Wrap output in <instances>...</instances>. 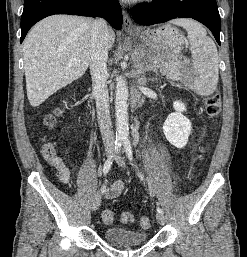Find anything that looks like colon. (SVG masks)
<instances>
[{
    "label": "colon",
    "mask_w": 247,
    "mask_h": 257,
    "mask_svg": "<svg viewBox=\"0 0 247 257\" xmlns=\"http://www.w3.org/2000/svg\"><path fill=\"white\" fill-rule=\"evenodd\" d=\"M205 105V113L208 118L215 120L221 111V97L219 93H213L209 96L206 97L204 101ZM58 116V112L55 114L48 115L45 119V124L47 126H52L56 122V117ZM42 154L45 158H53L54 156L57 155V150L56 147L50 143V142H45L42 145ZM201 158V156H200ZM103 221L107 224H110L114 221V213L111 210H105L102 214ZM133 220V216L128 213V212H123L120 215V221L122 223H130ZM151 221L149 217L147 216H142L139 219V225L140 227L147 229L150 227Z\"/></svg>",
    "instance_id": "1"
}]
</instances>
